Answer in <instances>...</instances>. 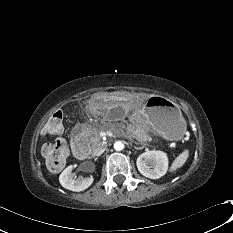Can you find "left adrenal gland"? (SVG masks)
Wrapping results in <instances>:
<instances>
[{"label":"left adrenal gland","mask_w":233,"mask_h":233,"mask_svg":"<svg viewBox=\"0 0 233 233\" xmlns=\"http://www.w3.org/2000/svg\"><path fill=\"white\" fill-rule=\"evenodd\" d=\"M143 147H135L136 150H141Z\"/></svg>","instance_id":"1"}]
</instances>
